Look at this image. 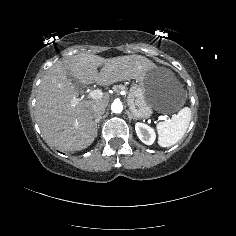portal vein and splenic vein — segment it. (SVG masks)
<instances>
[{
	"mask_svg": "<svg viewBox=\"0 0 236 236\" xmlns=\"http://www.w3.org/2000/svg\"><path fill=\"white\" fill-rule=\"evenodd\" d=\"M103 96V93L101 90L99 89H96V90H93L89 93L88 95V98H91V99H100L102 98ZM79 100V99H78ZM159 119H161V117H159Z\"/></svg>",
	"mask_w": 236,
	"mask_h": 236,
	"instance_id": "18ae733b",
	"label": "portal vein and splenic vein"
}]
</instances>
